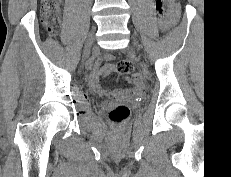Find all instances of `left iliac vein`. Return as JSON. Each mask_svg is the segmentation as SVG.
<instances>
[{
  "label": "left iliac vein",
  "instance_id": "left-iliac-vein-1",
  "mask_svg": "<svg viewBox=\"0 0 231 177\" xmlns=\"http://www.w3.org/2000/svg\"><path fill=\"white\" fill-rule=\"evenodd\" d=\"M135 46H138V42L136 40L133 41Z\"/></svg>",
  "mask_w": 231,
  "mask_h": 177
}]
</instances>
